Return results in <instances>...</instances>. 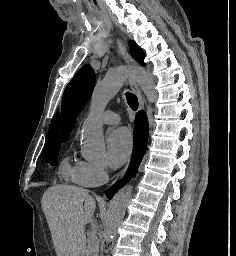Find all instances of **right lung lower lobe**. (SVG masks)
Here are the masks:
<instances>
[{"label": "right lung lower lobe", "instance_id": "right-lung-lower-lobe-1", "mask_svg": "<svg viewBox=\"0 0 236 256\" xmlns=\"http://www.w3.org/2000/svg\"><path fill=\"white\" fill-rule=\"evenodd\" d=\"M148 119L144 112H138L135 118L134 123V149H133V158L130 165V168L126 176L117 182L112 189L106 192L107 198L111 199L117 190L122 187L124 184L131 179L136 173L138 166L143 158V155L146 150L147 140H148Z\"/></svg>", "mask_w": 236, "mask_h": 256}]
</instances>
